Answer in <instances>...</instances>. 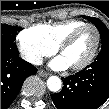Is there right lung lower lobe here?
Wrapping results in <instances>:
<instances>
[{"mask_svg":"<svg viewBox=\"0 0 109 109\" xmlns=\"http://www.w3.org/2000/svg\"><path fill=\"white\" fill-rule=\"evenodd\" d=\"M37 69L19 57L17 47L1 42V109H6L19 93L25 79Z\"/></svg>","mask_w":109,"mask_h":109,"instance_id":"1","label":"right lung lower lobe"}]
</instances>
